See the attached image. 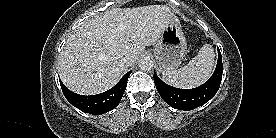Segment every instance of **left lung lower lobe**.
I'll list each match as a JSON object with an SVG mask.
<instances>
[{
    "mask_svg": "<svg viewBox=\"0 0 276 138\" xmlns=\"http://www.w3.org/2000/svg\"><path fill=\"white\" fill-rule=\"evenodd\" d=\"M223 73L222 56L218 49V62L211 78L193 89H178L167 85L154 74V82L161 98L171 107L192 110L208 102L218 91Z\"/></svg>",
    "mask_w": 276,
    "mask_h": 138,
    "instance_id": "1",
    "label": "left lung lower lobe"
}]
</instances>
